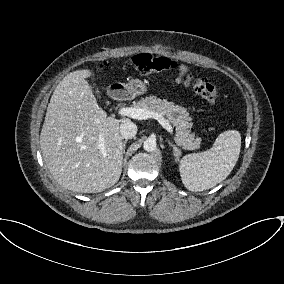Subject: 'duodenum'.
Here are the masks:
<instances>
[{
  "instance_id": "410a0bca",
  "label": "duodenum",
  "mask_w": 284,
  "mask_h": 284,
  "mask_svg": "<svg viewBox=\"0 0 284 284\" xmlns=\"http://www.w3.org/2000/svg\"><path fill=\"white\" fill-rule=\"evenodd\" d=\"M110 94L114 99L120 100L126 96L127 91L124 88H117L112 89Z\"/></svg>"
}]
</instances>
